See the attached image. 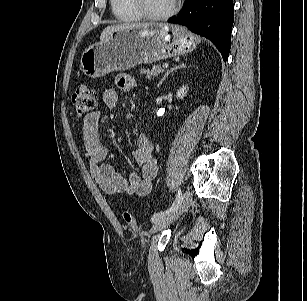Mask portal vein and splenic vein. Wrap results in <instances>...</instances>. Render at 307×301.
I'll return each mask as SVG.
<instances>
[{
	"label": "portal vein and splenic vein",
	"instance_id": "18ae733b",
	"mask_svg": "<svg viewBox=\"0 0 307 301\" xmlns=\"http://www.w3.org/2000/svg\"><path fill=\"white\" fill-rule=\"evenodd\" d=\"M162 68H163V69L168 68V64H167V63L163 64V65H162Z\"/></svg>",
	"mask_w": 307,
	"mask_h": 301
}]
</instances>
